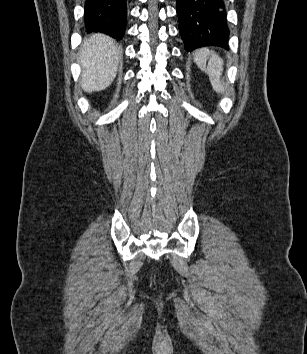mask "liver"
<instances>
[{
	"mask_svg": "<svg viewBox=\"0 0 307 354\" xmlns=\"http://www.w3.org/2000/svg\"><path fill=\"white\" fill-rule=\"evenodd\" d=\"M120 47L104 34H93L81 47L78 62L82 67V89L91 93L106 89L115 79Z\"/></svg>",
	"mask_w": 307,
	"mask_h": 354,
	"instance_id": "1",
	"label": "liver"
}]
</instances>
